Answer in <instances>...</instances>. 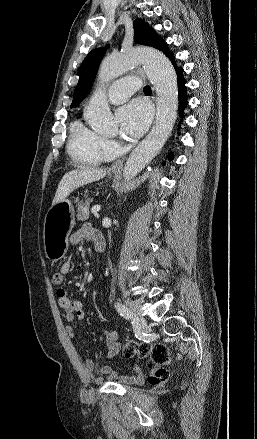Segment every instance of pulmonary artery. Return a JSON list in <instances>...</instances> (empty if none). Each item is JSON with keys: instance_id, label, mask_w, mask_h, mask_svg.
Returning a JSON list of instances; mask_svg holds the SVG:
<instances>
[{"instance_id": "1", "label": "pulmonary artery", "mask_w": 257, "mask_h": 439, "mask_svg": "<svg viewBox=\"0 0 257 439\" xmlns=\"http://www.w3.org/2000/svg\"><path fill=\"white\" fill-rule=\"evenodd\" d=\"M140 88V79L130 75L115 81L107 91V99L114 104L126 101Z\"/></svg>"}]
</instances>
